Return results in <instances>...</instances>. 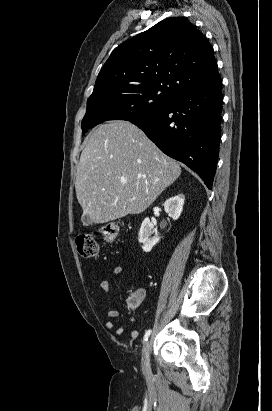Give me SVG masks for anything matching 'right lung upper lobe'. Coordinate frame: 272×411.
<instances>
[{
	"label": "right lung upper lobe",
	"instance_id": "right-lung-upper-lobe-1",
	"mask_svg": "<svg viewBox=\"0 0 272 411\" xmlns=\"http://www.w3.org/2000/svg\"><path fill=\"white\" fill-rule=\"evenodd\" d=\"M219 80L205 36L186 18L171 17L119 45L101 69L93 92L157 87L176 98Z\"/></svg>",
	"mask_w": 272,
	"mask_h": 411
}]
</instances>
